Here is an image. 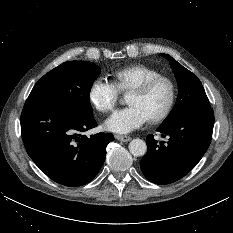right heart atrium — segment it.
Returning a JSON list of instances; mask_svg holds the SVG:
<instances>
[{
    "label": "right heart atrium",
    "instance_id": "1",
    "mask_svg": "<svg viewBox=\"0 0 233 233\" xmlns=\"http://www.w3.org/2000/svg\"><path fill=\"white\" fill-rule=\"evenodd\" d=\"M88 98L97 111L109 113L118 102L119 91L112 82L98 78L90 85Z\"/></svg>",
    "mask_w": 233,
    "mask_h": 233
}]
</instances>
